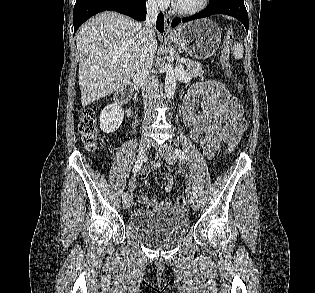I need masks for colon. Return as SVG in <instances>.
I'll use <instances>...</instances> for the list:
<instances>
[{"label":"colon","instance_id":"obj_1","mask_svg":"<svg viewBox=\"0 0 315 293\" xmlns=\"http://www.w3.org/2000/svg\"><path fill=\"white\" fill-rule=\"evenodd\" d=\"M234 32L232 30H228L224 40L221 42V49L219 53V59L222 61L223 66L225 67L227 75L232 78V71L229 67V59L232 43H234ZM238 89L242 90L243 86L241 84H237ZM79 133L81 139L88 150H94L96 147L103 141V138L100 136L98 128H97V119L96 113L88 109L83 113L82 119L79 124ZM237 144L236 140H233L229 143L228 150L231 151ZM176 204L180 207L186 205L187 200L185 196L178 195L175 199Z\"/></svg>","mask_w":315,"mask_h":293}]
</instances>
